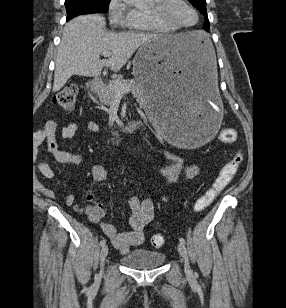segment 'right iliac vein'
<instances>
[{"mask_svg":"<svg viewBox=\"0 0 286 308\" xmlns=\"http://www.w3.org/2000/svg\"><path fill=\"white\" fill-rule=\"evenodd\" d=\"M108 246L107 245H104L102 248H101V251H100V261H101V267L103 268L104 266V261H105V258L107 257V254H108Z\"/></svg>","mask_w":286,"mask_h":308,"instance_id":"obj_1","label":"right iliac vein"}]
</instances>
